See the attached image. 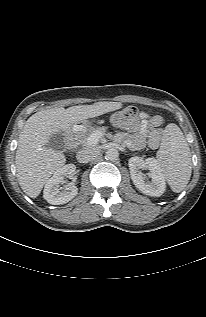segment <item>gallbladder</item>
Returning a JSON list of instances; mask_svg holds the SVG:
<instances>
[{
	"mask_svg": "<svg viewBox=\"0 0 206 317\" xmlns=\"http://www.w3.org/2000/svg\"><path fill=\"white\" fill-rule=\"evenodd\" d=\"M47 147L55 150L63 152L66 148L65 145V135L62 131L57 132L50 136L49 142L47 143Z\"/></svg>",
	"mask_w": 206,
	"mask_h": 317,
	"instance_id": "obj_1",
	"label": "gallbladder"
}]
</instances>
